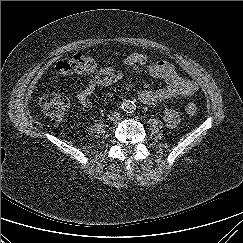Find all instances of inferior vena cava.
Wrapping results in <instances>:
<instances>
[{
    "label": "inferior vena cava",
    "mask_w": 243,
    "mask_h": 243,
    "mask_svg": "<svg viewBox=\"0 0 243 243\" xmlns=\"http://www.w3.org/2000/svg\"><path fill=\"white\" fill-rule=\"evenodd\" d=\"M119 118H120V114L118 112H113L109 116L110 120H118Z\"/></svg>",
    "instance_id": "inferior-vena-cava-1"
}]
</instances>
